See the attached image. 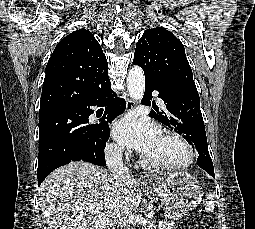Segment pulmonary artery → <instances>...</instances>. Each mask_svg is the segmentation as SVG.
Returning <instances> with one entry per match:
<instances>
[{
  "instance_id": "pulmonary-artery-1",
  "label": "pulmonary artery",
  "mask_w": 255,
  "mask_h": 229,
  "mask_svg": "<svg viewBox=\"0 0 255 229\" xmlns=\"http://www.w3.org/2000/svg\"><path fill=\"white\" fill-rule=\"evenodd\" d=\"M154 95H155V97L157 98V101H158L159 105H160L161 107H164V102H163V100H162L160 97H158V94H157L156 92L154 93Z\"/></svg>"
}]
</instances>
